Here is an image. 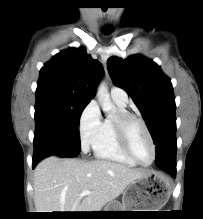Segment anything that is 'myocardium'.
<instances>
[{
    "label": "myocardium",
    "mask_w": 203,
    "mask_h": 219,
    "mask_svg": "<svg viewBox=\"0 0 203 219\" xmlns=\"http://www.w3.org/2000/svg\"><path fill=\"white\" fill-rule=\"evenodd\" d=\"M134 123H139L150 144H151V148H152V152H153V156H152V160L149 163H142L141 161H139L136 156L134 155L132 149H131V144H130V129L132 127V125ZM115 127H116V131L118 134V138H119V142L121 144L122 149L124 150V152L127 154V156L134 161L136 164L140 165V166H150L153 164V162L156 159V145L154 142V139L151 135V132L146 124V122L138 115L131 113V112H122L119 113L116 117H115Z\"/></svg>",
    "instance_id": "1"
}]
</instances>
